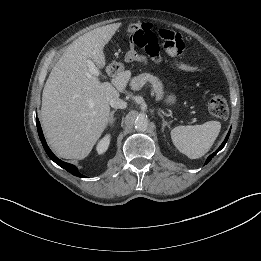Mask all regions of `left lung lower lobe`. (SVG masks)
<instances>
[{
    "mask_svg": "<svg viewBox=\"0 0 261 261\" xmlns=\"http://www.w3.org/2000/svg\"><path fill=\"white\" fill-rule=\"evenodd\" d=\"M230 131H231V129L229 130V133L227 134V136H226L225 140L223 141V143L221 144V146H220L213 154H211V155L207 158L206 164L225 146V144H226V142H227V140H228Z\"/></svg>",
    "mask_w": 261,
    "mask_h": 261,
    "instance_id": "0a47b994",
    "label": "left lung lower lobe"
}]
</instances>
